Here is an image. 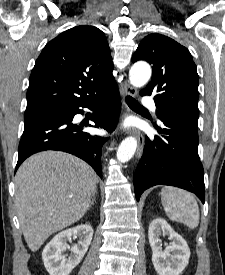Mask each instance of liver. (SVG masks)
<instances>
[{
  "label": "liver",
  "mask_w": 225,
  "mask_h": 275,
  "mask_svg": "<svg viewBox=\"0 0 225 275\" xmlns=\"http://www.w3.org/2000/svg\"><path fill=\"white\" fill-rule=\"evenodd\" d=\"M97 182L86 162L65 152H40L22 163L15 176L16 208L32 252L85 215Z\"/></svg>",
  "instance_id": "6515ba94"
}]
</instances>
